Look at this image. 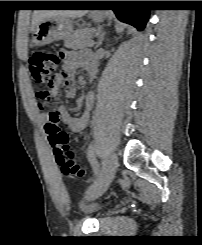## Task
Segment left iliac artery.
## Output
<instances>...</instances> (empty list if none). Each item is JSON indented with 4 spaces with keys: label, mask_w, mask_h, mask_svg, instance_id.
<instances>
[{
    "label": "left iliac artery",
    "mask_w": 202,
    "mask_h": 245,
    "mask_svg": "<svg viewBox=\"0 0 202 245\" xmlns=\"http://www.w3.org/2000/svg\"><path fill=\"white\" fill-rule=\"evenodd\" d=\"M95 146L96 145L94 143L91 144L90 147H89V149H88V153L87 154H88V157H89V159L91 161V164L93 166L94 174L97 177L99 175V164L96 161L95 156H94ZM95 183H96V181L88 188L87 194H91L94 191V189H95Z\"/></svg>",
    "instance_id": "obj_1"
}]
</instances>
